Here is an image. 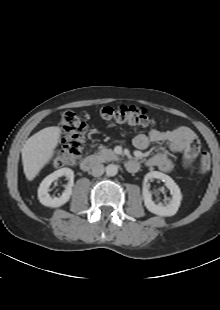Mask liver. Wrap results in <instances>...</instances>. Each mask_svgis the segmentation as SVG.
Instances as JSON below:
<instances>
[{"label":"liver","instance_id":"obj_1","mask_svg":"<svg viewBox=\"0 0 220 310\" xmlns=\"http://www.w3.org/2000/svg\"><path fill=\"white\" fill-rule=\"evenodd\" d=\"M61 137V128L51 126L31 136L22 149V163L26 178L32 181L55 154Z\"/></svg>","mask_w":220,"mask_h":310}]
</instances>
